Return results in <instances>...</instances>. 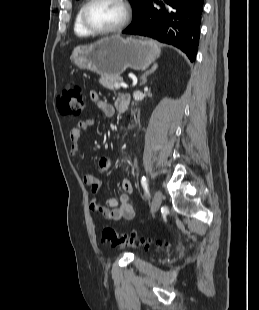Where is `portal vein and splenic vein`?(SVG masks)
Returning a JSON list of instances; mask_svg holds the SVG:
<instances>
[{
	"label": "portal vein and splenic vein",
	"mask_w": 259,
	"mask_h": 310,
	"mask_svg": "<svg viewBox=\"0 0 259 310\" xmlns=\"http://www.w3.org/2000/svg\"><path fill=\"white\" fill-rule=\"evenodd\" d=\"M114 86H115L116 89H119V88H121L123 86V83H115Z\"/></svg>",
	"instance_id": "1"
}]
</instances>
